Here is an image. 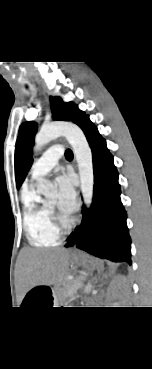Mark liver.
<instances>
[{
	"instance_id": "6515ba94",
	"label": "liver",
	"mask_w": 152,
	"mask_h": 369,
	"mask_svg": "<svg viewBox=\"0 0 152 369\" xmlns=\"http://www.w3.org/2000/svg\"><path fill=\"white\" fill-rule=\"evenodd\" d=\"M68 254L63 249L24 248L19 254V278L26 289L64 277Z\"/></svg>"
}]
</instances>
